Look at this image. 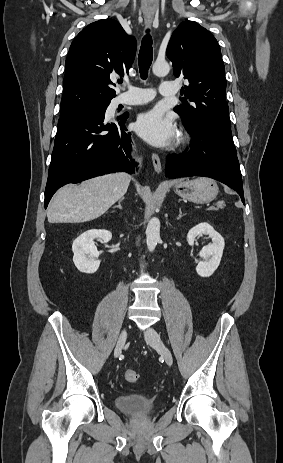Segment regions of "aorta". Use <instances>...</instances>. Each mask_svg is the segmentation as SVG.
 <instances>
[{
  "label": "aorta",
  "mask_w": 283,
  "mask_h": 463,
  "mask_svg": "<svg viewBox=\"0 0 283 463\" xmlns=\"http://www.w3.org/2000/svg\"><path fill=\"white\" fill-rule=\"evenodd\" d=\"M152 71L156 76H165L169 73L170 67L167 62L156 61L153 64ZM160 240V221L158 218H152L146 229V243L150 252H153Z\"/></svg>",
  "instance_id": "aorta-1"
}]
</instances>
